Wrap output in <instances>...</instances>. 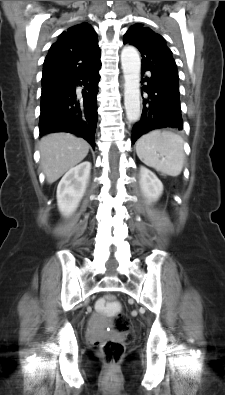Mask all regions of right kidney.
I'll use <instances>...</instances> for the list:
<instances>
[{
	"instance_id": "right-kidney-1",
	"label": "right kidney",
	"mask_w": 225,
	"mask_h": 395,
	"mask_svg": "<svg viewBox=\"0 0 225 395\" xmlns=\"http://www.w3.org/2000/svg\"><path fill=\"white\" fill-rule=\"evenodd\" d=\"M91 163L88 161L71 168L57 187V203L61 214L68 216L78 207L90 177Z\"/></svg>"
}]
</instances>
